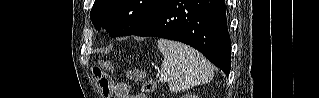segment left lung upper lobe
I'll return each mask as SVG.
<instances>
[{
    "mask_svg": "<svg viewBox=\"0 0 319 98\" xmlns=\"http://www.w3.org/2000/svg\"><path fill=\"white\" fill-rule=\"evenodd\" d=\"M161 0H95L90 18L111 37L133 34L150 18Z\"/></svg>",
    "mask_w": 319,
    "mask_h": 98,
    "instance_id": "left-lung-upper-lobe-1",
    "label": "left lung upper lobe"
}]
</instances>
